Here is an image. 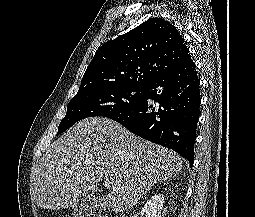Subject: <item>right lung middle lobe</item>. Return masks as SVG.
Listing matches in <instances>:
<instances>
[{"instance_id":"obj_1","label":"right lung middle lobe","mask_w":255,"mask_h":217,"mask_svg":"<svg viewBox=\"0 0 255 217\" xmlns=\"http://www.w3.org/2000/svg\"><path fill=\"white\" fill-rule=\"evenodd\" d=\"M145 90L146 87L114 86L78 92L70 100L57 134H61L82 119L94 116L108 117L126 111L142 100Z\"/></svg>"}]
</instances>
